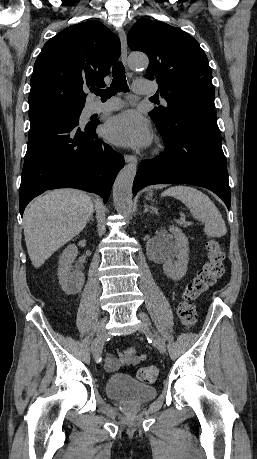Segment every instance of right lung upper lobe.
<instances>
[{"instance_id":"1","label":"right lung upper lobe","mask_w":257,"mask_h":459,"mask_svg":"<svg viewBox=\"0 0 257 459\" xmlns=\"http://www.w3.org/2000/svg\"><path fill=\"white\" fill-rule=\"evenodd\" d=\"M120 41L98 21L72 25L44 45L31 77L30 113L84 107V91L104 87V77L119 58Z\"/></svg>"}]
</instances>
